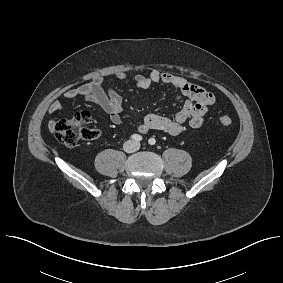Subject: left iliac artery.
<instances>
[{
  "mask_svg": "<svg viewBox=\"0 0 283 283\" xmlns=\"http://www.w3.org/2000/svg\"><path fill=\"white\" fill-rule=\"evenodd\" d=\"M148 143H149L150 145H154V144L156 143V140H155L154 138H150V139L148 140Z\"/></svg>",
  "mask_w": 283,
  "mask_h": 283,
  "instance_id": "1",
  "label": "left iliac artery"
}]
</instances>
